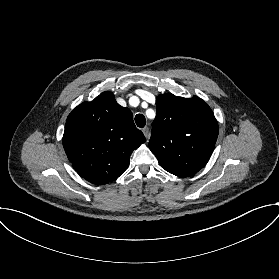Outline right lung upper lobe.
Here are the masks:
<instances>
[{
	"label": "right lung upper lobe",
	"instance_id": "right-lung-upper-lobe-1",
	"mask_svg": "<svg viewBox=\"0 0 279 279\" xmlns=\"http://www.w3.org/2000/svg\"><path fill=\"white\" fill-rule=\"evenodd\" d=\"M143 142L132 112L121 107L111 92L77 106L63 135L69 161L81 177L96 185L117 179L127 169L132 151Z\"/></svg>",
	"mask_w": 279,
	"mask_h": 279
}]
</instances>
